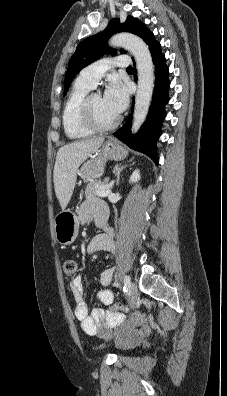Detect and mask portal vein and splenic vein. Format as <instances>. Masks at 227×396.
<instances>
[{"label": "portal vein and splenic vein", "mask_w": 227, "mask_h": 396, "mask_svg": "<svg viewBox=\"0 0 227 396\" xmlns=\"http://www.w3.org/2000/svg\"><path fill=\"white\" fill-rule=\"evenodd\" d=\"M111 188H112V183H110L106 188H104L103 190H100V191H98L97 192V195L98 196H101V197H106V196H108L112 191H111Z\"/></svg>", "instance_id": "portal-vein-and-splenic-vein-1"}]
</instances>
